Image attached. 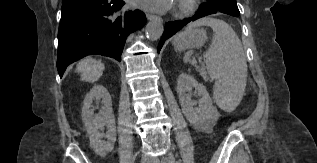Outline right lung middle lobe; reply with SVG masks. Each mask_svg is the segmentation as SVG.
<instances>
[{
	"label": "right lung middle lobe",
	"mask_w": 317,
	"mask_h": 163,
	"mask_svg": "<svg viewBox=\"0 0 317 163\" xmlns=\"http://www.w3.org/2000/svg\"><path fill=\"white\" fill-rule=\"evenodd\" d=\"M77 1H79V0H72V1H68V2H63V5L69 4V3H74V2H77Z\"/></svg>",
	"instance_id": "right-lung-middle-lobe-1"
}]
</instances>
